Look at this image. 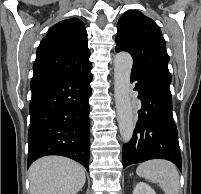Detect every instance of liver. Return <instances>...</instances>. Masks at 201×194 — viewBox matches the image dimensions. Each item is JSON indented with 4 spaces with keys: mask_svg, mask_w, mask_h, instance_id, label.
I'll use <instances>...</instances> for the list:
<instances>
[{
    "mask_svg": "<svg viewBox=\"0 0 201 194\" xmlns=\"http://www.w3.org/2000/svg\"><path fill=\"white\" fill-rule=\"evenodd\" d=\"M30 194H77L85 184L84 168L59 156H47L29 168Z\"/></svg>",
    "mask_w": 201,
    "mask_h": 194,
    "instance_id": "liver-1",
    "label": "liver"
}]
</instances>
